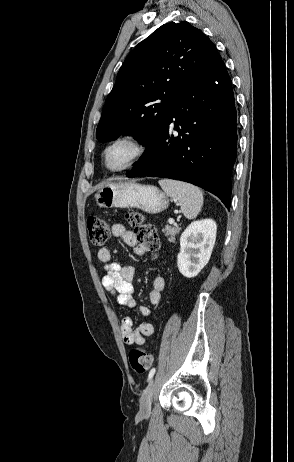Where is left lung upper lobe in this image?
I'll return each instance as SVG.
<instances>
[{"label": "left lung upper lobe", "mask_w": 294, "mask_h": 462, "mask_svg": "<svg viewBox=\"0 0 294 462\" xmlns=\"http://www.w3.org/2000/svg\"><path fill=\"white\" fill-rule=\"evenodd\" d=\"M221 60L214 43L190 23L162 25L125 59L103 106L97 139L134 134L150 145L186 87Z\"/></svg>", "instance_id": "1"}]
</instances>
